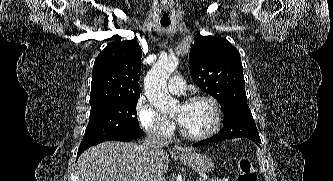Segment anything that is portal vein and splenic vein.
Returning a JSON list of instances; mask_svg holds the SVG:
<instances>
[{
    "instance_id": "1",
    "label": "portal vein and splenic vein",
    "mask_w": 333,
    "mask_h": 181,
    "mask_svg": "<svg viewBox=\"0 0 333 181\" xmlns=\"http://www.w3.org/2000/svg\"><path fill=\"white\" fill-rule=\"evenodd\" d=\"M200 181H205V179H202V180H200Z\"/></svg>"
}]
</instances>
